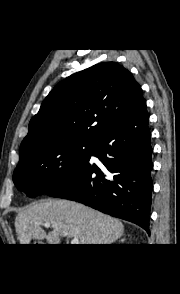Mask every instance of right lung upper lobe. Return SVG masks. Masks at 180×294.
Here are the masks:
<instances>
[{
  "label": "right lung upper lobe",
  "instance_id": "right-lung-upper-lobe-1",
  "mask_svg": "<svg viewBox=\"0 0 180 294\" xmlns=\"http://www.w3.org/2000/svg\"><path fill=\"white\" fill-rule=\"evenodd\" d=\"M144 101L140 85L118 63L77 72L54 87L31 119L19 162L45 147L93 142Z\"/></svg>",
  "mask_w": 180,
  "mask_h": 294
}]
</instances>
